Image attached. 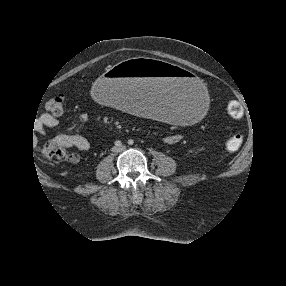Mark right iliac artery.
<instances>
[{"mask_svg":"<svg viewBox=\"0 0 286 286\" xmlns=\"http://www.w3.org/2000/svg\"><path fill=\"white\" fill-rule=\"evenodd\" d=\"M115 145L117 147H120V146H122V142L120 140H117V141H115Z\"/></svg>","mask_w":286,"mask_h":286,"instance_id":"right-iliac-artery-1","label":"right iliac artery"}]
</instances>
